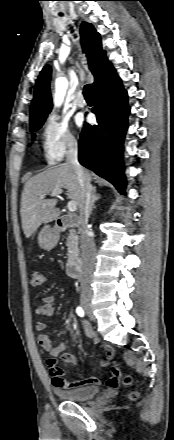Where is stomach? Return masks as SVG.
<instances>
[{
  "instance_id": "stomach-1",
  "label": "stomach",
  "mask_w": 174,
  "mask_h": 440,
  "mask_svg": "<svg viewBox=\"0 0 174 440\" xmlns=\"http://www.w3.org/2000/svg\"><path fill=\"white\" fill-rule=\"evenodd\" d=\"M60 239L59 230L50 226H45L38 234V245L44 250H51Z\"/></svg>"
}]
</instances>
